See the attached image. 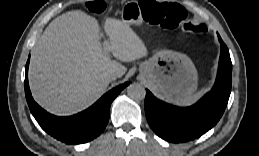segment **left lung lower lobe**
Returning a JSON list of instances; mask_svg holds the SVG:
<instances>
[{
  "label": "left lung lower lobe",
  "instance_id": "1",
  "mask_svg": "<svg viewBox=\"0 0 259 156\" xmlns=\"http://www.w3.org/2000/svg\"><path fill=\"white\" fill-rule=\"evenodd\" d=\"M222 45L218 77L214 88L190 107H176L155 98L146 90L145 113L152 130L162 139L181 143L200 137L221 118L231 92L232 64L228 48Z\"/></svg>",
  "mask_w": 259,
  "mask_h": 156
}]
</instances>
